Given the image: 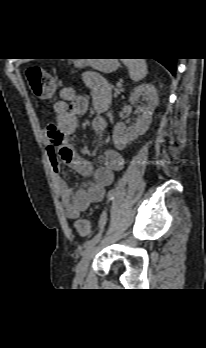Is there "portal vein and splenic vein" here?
<instances>
[{
    "instance_id": "1",
    "label": "portal vein and splenic vein",
    "mask_w": 206,
    "mask_h": 348,
    "mask_svg": "<svg viewBox=\"0 0 206 348\" xmlns=\"http://www.w3.org/2000/svg\"><path fill=\"white\" fill-rule=\"evenodd\" d=\"M117 86H118V87H121V86H122V81H121V80L117 83Z\"/></svg>"
}]
</instances>
